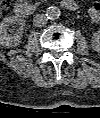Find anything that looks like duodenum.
<instances>
[{"mask_svg":"<svg viewBox=\"0 0 100 118\" xmlns=\"http://www.w3.org/2000/svg\"><path fill=\"white\" fill-rule=\"evenodd\" d=\"M61 5L64 8L70 9V10H73L77 7L74 0H62ZM14 10L17 15H20L23 17H29L34 13L35 8L31 4L23 0H18L15 4Z\"/></svg>","mask_w":100,"mask_h":118,"instance_id":"1","label":"duodenum"}]
</instances>
